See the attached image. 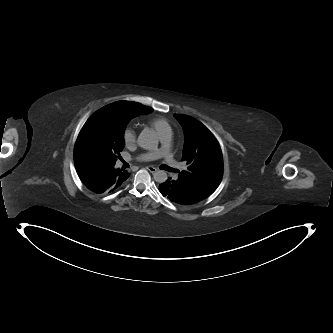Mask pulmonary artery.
<instances>
[{"label":"pulmonary artery","instance_id":"obj_1","mask_svg":"<svg viewBox=\"0 0 333 333\" xmlns=\"http://www.w3.org/2000/svg\"><path fill=\"white\" fill-rule=\"evenodd\" d=\"M161 141L163 143V153L167 154L169 151V146H170V140H171V131L167 132L163 135L160 136ZM156 154L154 153H146L141 155L138 160H142V161H149V160H153ZM168 164L172 165V160L170 158H168Z\"/></svg>","mask_w":333,"mask_h":333}]
</instances>
